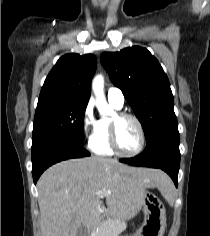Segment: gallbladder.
<instances>
[{
    "mask_svg": "<svg viewBox=\"0 0 210 236\" xmlns=\"http://www.w3.org/2000/svg\"><path fill=\"white\" fill-rule=\"evenodd\" d=\"M76 236H87V229L83 225L79 226Z\"/></svg>",
    "mask_w": 210,
    "mask_h": 236,
    "instance_id": "1",
    "label": "gallbladder"
}]
</instances>
